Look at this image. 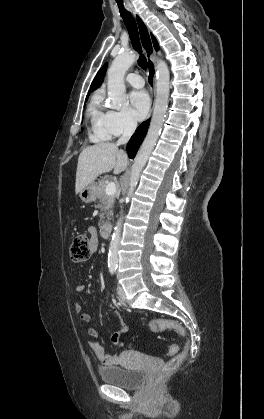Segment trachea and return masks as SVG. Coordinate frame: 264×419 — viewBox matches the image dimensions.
Instances as JSON below:
<instances>
[{
	"mask_svg": "<svg viewBox=\"0 0 264 419\" xmlns=\"http://www.w3.org/2000/svg\"><path fill=\"white\" fill-rule=\"evenodd\" d=\"M118 7H119L121 17L124 21V24L128 30L132 46L140 54L138 64L143 70H146L147 59L142 54V49H141V44H140V39H139V34H138V29H137V24L135 22V19L133 18L131 13L124 8L123 4L118 3Z\"/></svg>",
	"mask_w": 264,
	"mask_h": 419,
	"instance_id": "3493384b",
	"label": "trachea"
}]
</instances>
